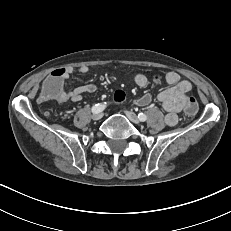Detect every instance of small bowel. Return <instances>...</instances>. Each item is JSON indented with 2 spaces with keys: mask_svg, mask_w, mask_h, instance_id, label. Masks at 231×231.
I'll list each match as a JSON object with an SVG mask.
<instances>
[{
  "mask_svg": "<svg viewBox=\"0 0 231 231\" xmlns=\"http://www.w3.org/2000/svg\"><path fill=\"white\" fill-rule=\"evenodd\" d=\"M64 71V78L59 82L60 96L56 99L59 103L79 102L86 93H94L98 87L95 84H87L74 89H66L70 75L74 72L73 67L60 68ZM88 66H80L77 71L82 74L89 72ZM136 85L145 87L148 85V78L144 74H137L134 77ZM156 82H165L169 85L168 88L160 91L157 95V100L162 109L166 112L165 122L168 126L173 127L178 122V113L183 112L182 105L184 98L190 96L192 85L187 80H182L180 75L174 71L167 72L162 77H157ZM152 101L150 94H144L135 99L133 103L137 106H147Z\"/></svg>",
  "mask_w": 231,
  "mask_h": 231,
  "instance_id": "obj_1",
  "label": "small bowel"
}]
</instances>
